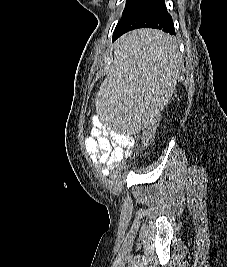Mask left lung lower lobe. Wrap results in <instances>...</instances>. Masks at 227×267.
<instances>
[{
	"instance_id": "obj_1",
	"label": "left lung lower lobe",
	"mask_w": 227,
	"mask_h": 267,
	"mask_svg": "<svg viewBox=\"0 0 227 267\" xmlns=\"http://www.w3.org/2000/svg\"><path fill=\"white\" fill-rule=\"evenodd\" d=\"M137 28L160 29L170 35L175 34L171 15L167 12L164 0H127L114 33L113 41L128 31ZM150 43L139 40L135 43L136 49H143Z\"/></svg>"
}]
</instances>
